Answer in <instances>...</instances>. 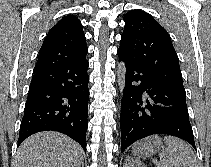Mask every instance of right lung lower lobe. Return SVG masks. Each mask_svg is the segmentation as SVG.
I'll return each mask as SVG.
<instances>
[{"mask_svg": "<svg viewBox=\"0 0 211 167\" xmlns=\"http://www.w3.org/2000/svg\"><path fill=\"white\" fill-rule=\"evenodd\" d=\"M86 57L34 73L21 121L18 146L40 131H58L86 150L89 76Z\"/></svg>", "mask_w": 211, "mask_h": 167, "instance_id": "1", "label": "right lung lower lobe"}]
</instances>
